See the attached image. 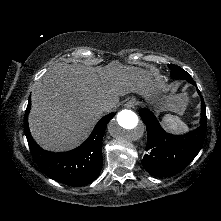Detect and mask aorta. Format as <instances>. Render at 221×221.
<instances>
[{
	"instance_id": "762f6f07",
	"label": "aorta",
	"mask_w": 221,
	"mask_h": 221,
	"mask_svg": "<svg viewBox=\"0 0 221 221\" xmlns=\"http://www.w3.org/2000/svg\"><path fill=\"white\" fill-rule=\"evenodd\" d=\"M109 133L116 139L126 142L136 141L143 136L144 127L132 110H121L108 124Z\"/></svg>"
}]
</instances>
